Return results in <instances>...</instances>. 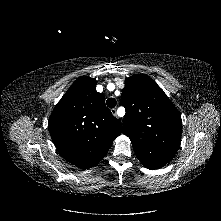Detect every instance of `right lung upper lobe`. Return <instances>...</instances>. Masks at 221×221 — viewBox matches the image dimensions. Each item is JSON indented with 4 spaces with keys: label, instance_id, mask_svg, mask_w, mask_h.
Here are the masks:
<instances>
[{
    "label": "right lung upper lobe",
    "instance_id": "cb5924a9",
    "mask_svg": "<svg viewBox=\"0 0 221 221\" xmlns=\"http://www.w3.org/2000/svg\"><path fill=\"white\" fill-rule=\"evenodd\" d=\"M97 81L77 79L55 106L49 122L52 141L65 160L91 168L108 152L121 134L122 124L96 91Z\"/></svg>",
    "mask_w": 221,
    "mask_h": 221
}]
</instances>
